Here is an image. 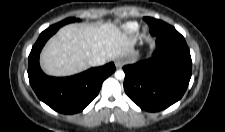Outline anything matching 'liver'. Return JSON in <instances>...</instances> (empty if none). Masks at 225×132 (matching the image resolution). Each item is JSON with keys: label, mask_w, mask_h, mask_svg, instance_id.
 <instances>
[{"label": "liver", "mask_w": 225, "mask_h": 132, "mask_svg": "<svg viewBox=\"0 0 225 132\" xmlns=\"http://www.w3.org/2000/svg\"><path fill=\"white\" fill-rule=\"evenodd\" d=\"M134 41L115 23L68 24L43 48L40 64L51 76H69L90 67L96 57L114 60L135 55Z\"/></svg>", "instance_id": "1"}]
</instances>
